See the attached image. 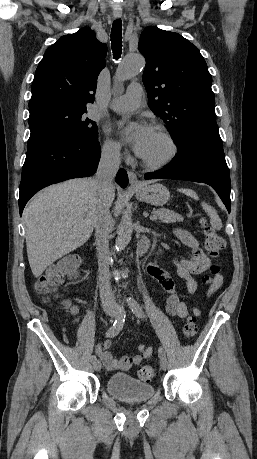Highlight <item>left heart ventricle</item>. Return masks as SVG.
Returning a JSON list of instances; mask_svg holds the SVG:
<instances>
[{
    "label": "left heart ventricle",
    "mask_w": 257,
    "mask_h": 459,
    "mask_svg": "<svg viewBox=\"0 0 257 459\" xmlns=\"http://www.w3.org/2000/svg\"><path fill=\"white\" fill-rule=\"evenodd\" d=\"M169 151L168 142L157 130L152 129L151 137L142 157L150 161H159L166 157Z\"/></svg>",
    "instance_id": "left-heart-ventricle-1"
}]
</instances>
